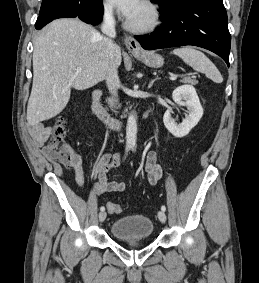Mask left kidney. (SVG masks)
<instances>
[{"label":"left kidney","mask_w":259,"mask_h":283,"mask_svg":"<svg viewBox=\"0 0 259 283\" xmlns=\"http://www.w3.org/2000/svg\"><path fill=\"white\" fill-rule=\"evenodd\" d=\"M173 100L180 106H186L189 113L182 123L177 124L171 117V109H168L163 117L167 130L175 137L182 138L194 128L203 115V108L200 104L196 90L191 85L177 87L172 94Z\"/></svg>","instance_id":"5707ae66"}]
</instances>
